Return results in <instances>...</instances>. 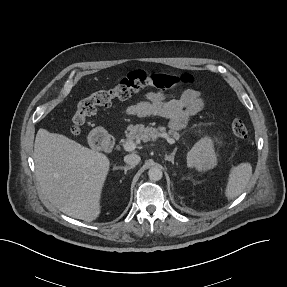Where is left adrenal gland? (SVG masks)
Listing matches in <instances>:
<instances>
[{
  "mask_svg": "<svg viewBox=\"0 0 287 287\" xmlns=\"http://www.w3.org/2000/svg\"><path fill=\"white\" fill-rule=\"evenodd\" d=\"M176 151H177V148H175L174 151L170 155L165 154L164 159L174 164V157H175Z\"/></svg>",
  "mask_w": 287,
  "mask_h": 287,
  "instance_id": "obj_1",
  "label": "left adrenal gland"
}]
</instances>
